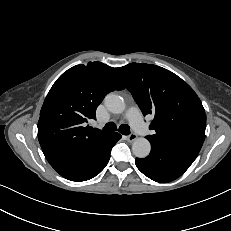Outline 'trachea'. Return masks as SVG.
I'll return each instance as SVG.
<instances>
[{"label":"trachea","instance_id":"trachea-1","mask_svg":"<svg viewBox=\"0 0 231 231\" xmlns=\"http://www.w3.org/2000/svg\"><path fill=\"white\" fill-rule=\"evenodd\" d=\"M104 131H116V125L113 122H108L103 128ZM119 132L123 135L130 134V127L127 124H122L119 127Z\"/></svg>","mask_w":231,"mask_h":231}]
</instances>
